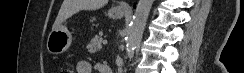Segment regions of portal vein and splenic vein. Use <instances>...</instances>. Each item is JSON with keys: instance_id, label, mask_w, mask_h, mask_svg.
Instances as JSON below:
<instances>
[{"instance_id": "obj_1", "label": "portal vein and splenic vein", "mask_w": 244, "mask_h": 73, "mask_svg": "<svg viewBox=\"0 0 244 73\" xmlns=\"http://www.w3.org/2000/svg\"><path fill=\"white\" fill-rule=\"evenodd\" d=\"M107 43H108L107 40L103 41V45H107Z\"/></svg>"}]
</instances>
